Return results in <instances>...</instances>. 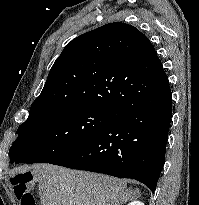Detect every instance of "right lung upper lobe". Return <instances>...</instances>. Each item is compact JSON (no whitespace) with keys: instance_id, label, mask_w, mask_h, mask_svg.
I'll use <instances>...</instances> for the list:
<instances>
[{"instance_id":"obj_1","label":"right lung upper lobe","mask_w":199,"mask_h":205,"mask_svg":"<svg viewBox=\"0 0 199 205\" xmlns=\"http://www.w3.org/2000/svg\"><path fill=\"white\" fill-rule=\"evenodd\" d=\"M163 66L150 40L114 22L84 33L63 49L31 109L89 105L116 111L154 89Z\"/></svg>"}]
</instances>
